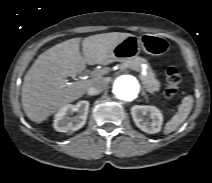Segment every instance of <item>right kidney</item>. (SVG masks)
I'll use <instances>...</instances> for the list:
<instances>
[{"label":"right kidney","mask_w":212,"mask_h":183,"mask_svg":"<svg viewBox=\"0 0 212 183\" xmlns=\"http://www.w3.org/2000/svg\"><path fill=\"white\" fill-rule=\"evenodd\" d=\"M88 101H79L75 105L66 104L61 107L54 117L53 127L58 132H74L83 127L86 123L88 110ZM77 114L73 117L71 113Z\"/></svg>","instance_id":"ca27d5eb"}]
</instances>
